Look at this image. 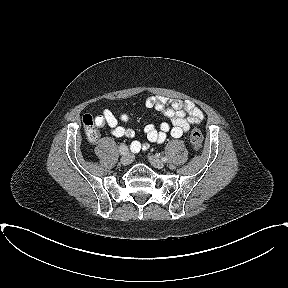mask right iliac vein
<instances>
[{
    "instance_id": "1",
    "label": "right iliac vein",
    "mask_w": 288,
    "mask_h": 288,
    "mask_svg": "<svg viewBox=\"0 0 288 288\" xmlns=\"http://www.w3.org/2000/svg\"><path fill=\"white\" fill-rule=\"evenodd\" d=\"M132 155L129 153L123 154L120 158V162L122 165L126 166L129 165L132 162Z\"/></svg>"
}]
</instances>
